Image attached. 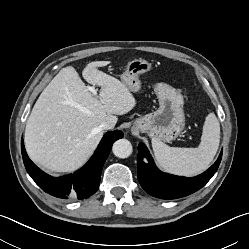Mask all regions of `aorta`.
Returning a JSON list of instances; mask_svg holds the SVG:
<instances>
[{
    "mask_svg": "<svg viewBox=\"0 0 249 249\" xmlns=\"http://www.w3.org/2000/svg\"><path fill=\"white\" fill-rule=\"evenodd\" d=\"M112 151L116 157L123 159L132 154L133 148L127 139H119L113 144Z\"/></svg>",
    "mask_w": 249,
    "mask_h": 249,
    "instance_id": "1",
    "label": "aorta"
}]
</instances>
